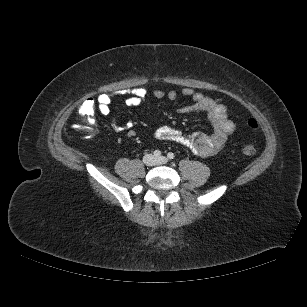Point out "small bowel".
Instances as JSON below:
<instances>
[{
	"instance_id": "obj_1",
	"label": "small bowel",
	"mask_w": 307,
	"mask_h": 307,
	"mask_svg": "<svg viewBox=\"0 0 307 307\" xmlns=\"http://www.w3.org/2000/svg\"><path fill=\"white\" fill-rule=\"evenodd\" d=\"M147 95V91L143 88L134 89L131 91V96L126 99V105L130 107L141 106L145 103ZM152 95L157 99H167L169 101H174L177 98V92L174 90L167 92L155 90ZM182 95L189 98L192 103L178 108V112L182 114L206 113L213 126L212 133L185 135L171 126L162 125L155 129V137L159 140L176 142L188 148L193 154L199 157L216 155L222 150L226 141L235 130L234 123L229 119L227 108L223 104L191 88L183 89ZM111 101L112 95L108 93L101 94L97 97V107L102 115H109ZM110 124L117 132L131 131L130 123L120 125L112 119Z\"/></svg>"
}]
</instances>
